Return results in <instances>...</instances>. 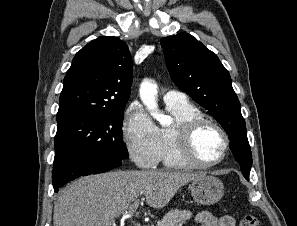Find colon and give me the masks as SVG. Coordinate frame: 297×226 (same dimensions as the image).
Wrapping results in <instances>:
<instances>
[{
  "instance_id": "1",
  "label": "colon",
  "mask_w": 297,
  "mask_h": 226,
  "mask_svg": "<svg viewBox=\"0 0 297 226\" xmlns=\"http://www.w3.org/2000/svg\"><path fill=\"white\" fill-rule=\"evenodd\" d=\"M240 226H258V220L254 215H243L240 221Z\"/></svg>"
}]
</instances>
